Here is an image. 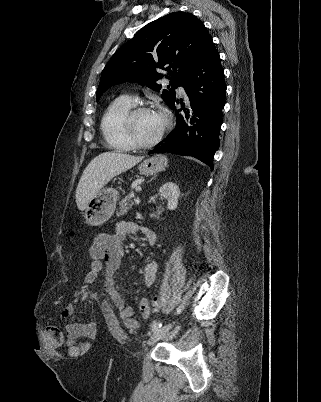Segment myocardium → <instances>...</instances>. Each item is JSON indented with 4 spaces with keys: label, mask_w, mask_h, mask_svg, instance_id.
Listing matches in <instances>:
<instances>
[{
    "label": "myocardium",
    "mask_w": 321,
    "mask_h": 402,
    "mask_svg": "<svg viewBox=\"0 0 321 402\" xmlns=\"http://www.w3.org/2000/svg\"><path fill=\"white\" fill-rule=\"evenodd\" d=\"M153 111L152 108L144 105H136L131 107L123 116L122 119V129L123 133L127 139V141L132 145L134 148L137 149H150L157 145L162 138L164 137L165 133L169 130L171 126V118L167 113H161L164 118V124L161 130L158 132L156 137L148 142L140 141L134 131V118L137 114L141 112Z\"/></svg>",
    "instance_id": "1"
}]
</instances>
